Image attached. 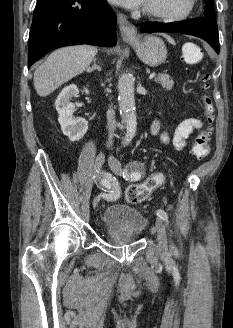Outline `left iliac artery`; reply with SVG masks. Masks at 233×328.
Here are the masks:
<instances>
[{"mask_svg": "<svg viewBox=\"0 0 233 328\" xmlns=\"http://www.w3.org/2000/svg\"><path fill=\"white\" fill-rule=\"evenodd\" d=\"M140 178H141V173H139V172H132L131 175H130V179L134 180V181L139 180ZM156 214L160 219H162L163 221L166 222V224H168V222H169L168 221V215L164 210L158 209L156 211ZM173 248H174V246H173Z\"/></svg>", "mask_w": 233, "mask_h": 328, "instance_id": "obj_1", "label": "left iliac artery"}]
</instances>
